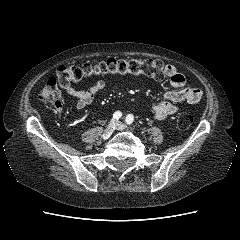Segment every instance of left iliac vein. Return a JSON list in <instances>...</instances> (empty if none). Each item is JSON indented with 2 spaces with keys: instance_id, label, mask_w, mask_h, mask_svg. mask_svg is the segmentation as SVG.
Wrapping results in <instances>:
<instances>
[{
  "instance_id": "left-iliac-vein-1",
  "label": "left iliac vein",
  "mask_w": 240,
  "mask_h": 240,
  "mask_svg": "<svg viewBox=\"0 0 240 240\" xmlns=\"http://www.w3.org/2000/svg\"><path fill=\"white\" fill-rule=\"evenodd\" d=\"M116 129L120 131H126L128 130L127 126L123 123L117 122Z\"/></svg>"
}]
</instances>
